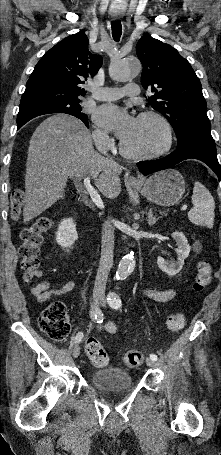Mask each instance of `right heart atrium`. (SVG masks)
I'll list each match as a JSON object with an SVG mask.
<instances>
[{"mask_svg":"<svg viewBox=\"0 0 221 455\" xmlns=\"http://www.w3.org/2000/svg\"><path fill=\"white\" fill-rule=\"evenodd\" d=\"M93 139L97 149L101 152H106L110 149L111 138L107 131L101 128H97L93 132Z\"/></svg>","mask_w":221,"mask_h":455,"instance_id":"1","label":"right heart atrium"}]
</instances>
